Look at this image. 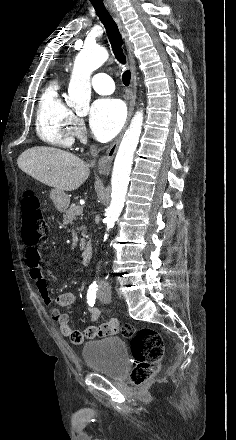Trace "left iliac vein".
I'll list each match as a JSON object with an SVG mask.
<instances>
[{
	"instance_id": "1",
	"label": "left iliac vein",
	"mask_w": 236,
	"mask_h": 440,
	"mask_svg": "<svg viewBox=\"0 0 236 440\" xmlns=\"http://www.w3.org/2000/svg\"><path fill=\"white\" fill-rule=\"evenodd\" d=\"M99 299L102 303L108 304L111 302V294L107 293V294H99Z\"/></svg>"
}]
</instances>
